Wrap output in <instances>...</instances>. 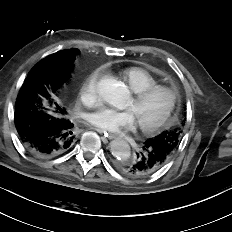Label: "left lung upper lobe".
<instances>
[{
  "label": "left lung upper lobe",
  "mask_w": 232,
  "mask_h": 232,
  "mask_svg": "<svg viewBox=\"0 0 232 232\" xmlns=\"http://www.w3.org/2000/svg\"><path fill=\"white\" fill-rule=\"evenodd\" d=\"M181 131L179 128H172L163 131L160 135L150 138V140L165 146L173 155L179 146Z\"/></svg>",
  "instance_id": "5c2ea615"
}]
</instances>
